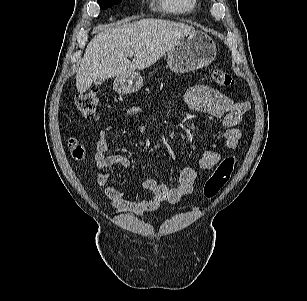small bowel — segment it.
Wrapping results in <instances>:
<instances>
[{
  "label": "small bowel",
  "instance_id": "obj_1",
  "mask_svg": "<svg viewBox=\"0 0 307 301\" xmlns=\"http://www.w3.org/2000/svg\"><path fill=\"white\" fill-rule=\"evenodd\" d=\"M184 100L192 110L222 119L225 127L224 146L227 149H235L238 146L241 139L239 126L243 116L250 109L248 102H234L219 90L203 84L190 87L184 96ZM139 112L138 107H130L127 110L130 115H137ZM112 129V125H104L98 132L95 164L98 170L97 183L104 187V193L111 204V210L116 214L127 213L139 216L157 211L163 203H177L184 195L192 194L195 191L198 171L211 170L221 158L217 150H206L201 156L197 167H187L180 173L177 187H170L167 183L155 178L145 180L143 187L151 191L153 196L139 200L132 194L107 185L110 179V168L128 169L131 167V161L125 155H106L109 146V135ZM138 130L141 133L147 132V128L143 124L138 125Z\"/></svg>",
  "mask_w": 307,
  "mask_h": 301
}]
</instances>
